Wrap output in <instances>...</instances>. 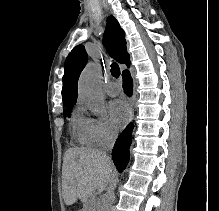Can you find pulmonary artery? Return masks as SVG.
I'll list each match as a JSON object with an SVG mask.
<instances>
[{"label": "pulmonary artery", "mask_w": 219, "mask_h": 211, "mask_svg": "<svg viewBox=\"0 0 219 211\" xmlns=\"http://www.w3.org/2000/svg\"><path fill=\"white\" fill-rule=\"evenodd\" d=\"M106 93L110 96H116L118 95L121 90H122V86L119 82L117 81H111L106 85Z\"/></svg>", "instance_id": "obj_1"}]
</instances>
